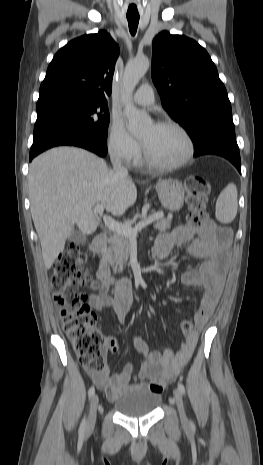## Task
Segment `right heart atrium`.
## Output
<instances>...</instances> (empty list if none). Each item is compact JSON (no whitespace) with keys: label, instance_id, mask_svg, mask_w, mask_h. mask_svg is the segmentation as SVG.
I'll return each mask as SVG.
<instances>
[{"label":"right heart atrium","instance_id":"right-heart-atrium-1","mask_svg":"<svg viewBox=\"0 0 263 465\" xmlns=\"http://www.w3.org/2000/svg\"><path fill=\"white\" fill-rule=\"evenodd\" d=\"M110 155L126 164H134L141 155V146L119 119H113L108 127L106 138Z\"/></svg>","mask_w":263,"mask_h":465}]
</instances>
